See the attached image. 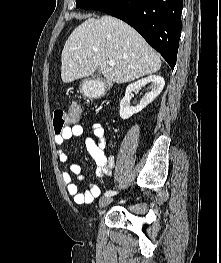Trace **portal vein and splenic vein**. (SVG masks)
I'll return each mask as SVG.
<instances>
[{"mask_svg":"<svg viewBox=\"0 0 221 263\" xmlns=\"http://www.w3.org/2000/svg\"><path fill=\"white\" fill-rule=\"evenodd\" d=\"M108 64H109L110 66H114V65H115V61H114V60H109V61H108Z\"/></svg>","mask_w":221,"mask_h":263,"instance_id":"1","label":"portal vein and splenic vein"}]
</instances>
